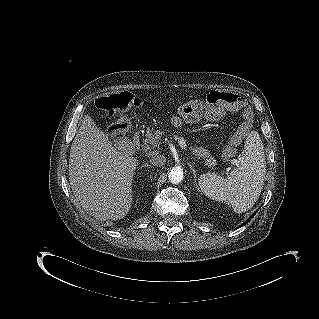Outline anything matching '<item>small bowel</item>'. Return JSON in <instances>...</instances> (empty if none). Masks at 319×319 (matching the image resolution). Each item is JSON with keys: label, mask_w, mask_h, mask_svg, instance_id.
Listing matches in <instances>:
<instances>
[{"label": "small bowel", "mask_w": 319, "mask_h": 319, "mask_svg": "<svg viewBox=\"0 0 319 319\" xmlns=\"http://www.w3.org/2000/svg\"><path fill=\"white\" fill-rule=\"evenodd\" d=\"M223 115V109L222 108H219V109H216V110H213L209 113V118L211 120H218L222 117ZM172 122L175 126H180L181 125V120L178 118V117H174L172 119ZM195 152L197 154H200V155H203L204 154V150L201 149V148H195Z\"/></svg>", "instance_id": "obj_1"}]
</instances>
